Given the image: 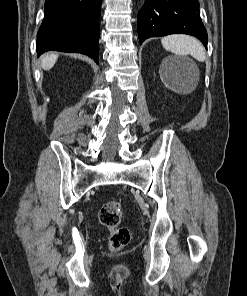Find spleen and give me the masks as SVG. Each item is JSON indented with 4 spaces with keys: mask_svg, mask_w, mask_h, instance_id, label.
Masks as SVG:
<instances>
[{
    "mask_svg": "<svg viewBox=\"0 0 247 296\" xmlns=\"http://www.w3.org/2000/svg\"><path fill=\"white\" fill-rule=\"evenodd\" d=\"M163 47L167 51L179 56L191 55L198 61H205V50L203 45L196 38L189 35H169L161 39Z\"/></svg>",
    "mask_w": 247,
    "mask_h": 296,
    "instance_id": "1",
    "label": "spleen"
}]
</instances>
